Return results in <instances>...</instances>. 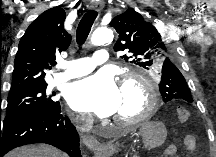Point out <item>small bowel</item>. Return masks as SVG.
I'll list each match as a JSON object with an SVG mask.
<instances>
[{"mask_svg":"<svg viewBox=\"0 0 216 157\" xmlns=\"http://www.w3.org/2000/svg\"><path fill=\"white\" fill-rule=\"evenodd\" d=\"M183 144L185 149L190 152V153H195L196 149H197V142L194 136H186L183 139ZM177 152V146L175 143H172L170 145H168L166 147V149L164 150V156L166 157H170V156H174Z\"/></svg>","mask_w":216,"mask_h":157,"instance_id":"obj_1","label":"small bowel"}]
</instances>
